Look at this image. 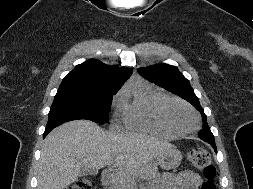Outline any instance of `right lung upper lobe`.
I'll use <instances>...</instances> for the list:
<instances>
[{
    "instance_id": "obj_1",
    "label": "right lung upper lobe",
    "mask_w": 253,
    "mask_h": 189,
    "mask_svg": "<svg viewBox=\"0 0 253 189\" xmlns=\"http://www.w3.org/2000/svg\"><path fill=\"white\" fill-rule=\"evenodd\" d=\"M131 74L130 68L109 66L92 59L77 65L63 79L59 89L119 90Z\"/></svg>"
}]
</instances>
